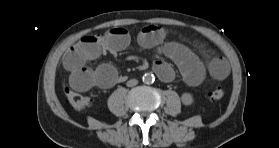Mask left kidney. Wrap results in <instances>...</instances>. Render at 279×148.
Listing matches in <instances>:
<instances>
[{
  "label": "left kidney",
  "instance_id": "obj_1",
  "mask_svg": "<svg viewBox=\"0 0 279 148\" xmlns=\"http://www.w3.org/2000/svg\"><path fill=\"white\" fill-rule=\"evenodd\" d=\"M181 101L186 106H189L194 102L193 97L190 93H183L181 96Z\"/></svg>",
  "mask_w": 279,
  "mask_h": 148
}]
</instances>
